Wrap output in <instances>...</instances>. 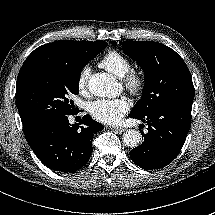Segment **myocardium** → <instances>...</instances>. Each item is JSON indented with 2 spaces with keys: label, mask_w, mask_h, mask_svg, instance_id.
I'll use <instances>...</instances> for the list:
<instances>
[{
  "label": "myocardium",
  "mask_w": 215,
  "mask_h": 215,
  "mask_svg": "<svg viewBox=\"0 0 215 215\" xmlns=\"http://www.w3.org/2000/svg\"><path fill=\"white\" fill-rule=\"evenodd\" d=\"M125 89L133 96H141L146 88V76L142 70L131 68L122 77Z\"/></svg>",
  "instance_id": "myocardium-1"
}]
</instances>
